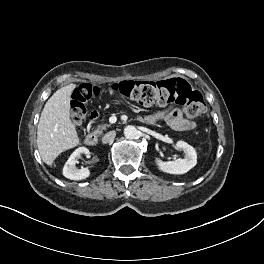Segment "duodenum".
Instances as JSON below:
<instances>
[{
    "label": "duodenum",
    "mask_w": 264,
    "mask_h": 264,
    "mask_svg": "<svg viewBox=\"0 0 264 264\" xmlns=\"http://www.w3.org/2000/svg\"><path fill=\"white\" fill-rule=\"evenodd\" d=\"M99 138L96 133H89L85 137V143L89 146H96L98 144Z\"/></svg>",
    "instance_id": "obj_1"
}]
</instances>
